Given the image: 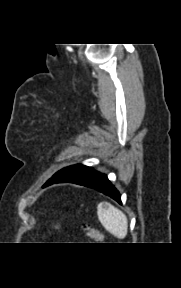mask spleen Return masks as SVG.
I'll list each match as a JSON object with an SVG mask.
<instances>
[{
	"label": "spleen",
	"mask_w": 181,
	"mask_h": 288,
	"mask_svg": "<svg viewBox=\"0 0 181 288\" xmlns=\"http://www.w3.org/2000/svg\"><path fill=\"white\" fill-rule=\"evenodd\" d=\"M98 219L103 227L119 239L127 235L128 221L126 215L108 202H101L97 206Z\"/></svg>",
	"instance_id": "1"
}]
</instances>
